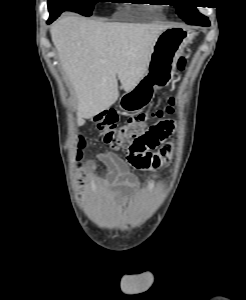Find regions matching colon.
I'll use <instances>...</instances> for the list:
<instances>
[{
  "mask_svg": "<svg viewBox=\"0 0 246 300\" xmlns=\"http://www.w3.org/2000/svg\"><path fill=\"white\" fill-rule=\"evenodd\" d=\"M184 58L178 61V69L184 68ZM174 99H170L163 108L153 109L133 115L118 125V113L115 110L102 111L94 117V125L98 129L102 142L114 148H127L129 151L142 155L140 162L145 167H155L160 163L159 155L154 153L174 130L170 121L149 126L153 119H161L174 111ZM85 145L80 137L79 148Z\"/></svg>",
  "mask_w": 246,
  "mask_h": 300,
  "instance_id": "5ec220e1",
  "label": "colon"
}]
</instances>
